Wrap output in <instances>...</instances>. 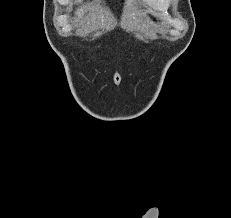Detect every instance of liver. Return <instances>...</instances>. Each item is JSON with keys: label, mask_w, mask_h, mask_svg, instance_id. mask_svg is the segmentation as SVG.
I'll list each match as a JSON object with an SVG mask.
<instances>
[{"label": "liver", "mask_w": 231, "mask_h": 218, "mask_svg": "<svg viewBox=\"0 0 231 218\" xmlns=\"http://www.w3.org/2000/svg\"><path fill=\"white\" fill-rule=\"evenodd\" d=\"M76 14L78 18H80L84 14V9L81 7L80 9L77 10Z\"/></svg>", "instance_id": "obj_1"}]
</instances>
